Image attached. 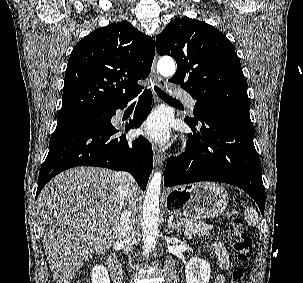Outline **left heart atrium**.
I'll list each match as a JSON object with an SVG mask.
<instances>
[{
  "label": "left heart atrium",
  "instance_id": "left-heart-atrium-1",
  "mask_svg": "<svg viewBox=\"0 0 303 283\" xmlns=\"http://www.w3.org/2000/svg\"><path fill=\"white\" fill-rule=\"evenodd\" d=\"M139 133L153 141H166L169 137L168 117L164 113L153 112L144 120Z\"/></svg>",
  "mask_w": 303,
  "mask_h": 283
}]
</instances>
